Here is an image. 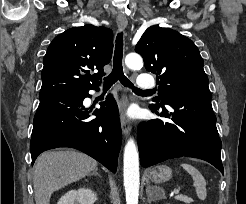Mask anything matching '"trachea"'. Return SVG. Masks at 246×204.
Returning a JSON list of instances; mask_svg holds the SVG:
<instances>
[{"label":"trachea","mask_w":246,"mask_h":204,"mask_svg":"<svg viewBox=\"0 0 246 204\" xmlns=\"http://www.w3.org/2000/svg\"><path fill=\"white\" fill-rule=\"evenodd\" d=\"M123 32L119 33L116 38V46L114 52L113 69L108 77L104 79L103 89H109L116 81H120L122 85L132 89L137 94L149 93L150 90H141L134 86V84L124 75L123 66Z\"/></svg>","instance_id":"trachea-1"}]
</instances>
